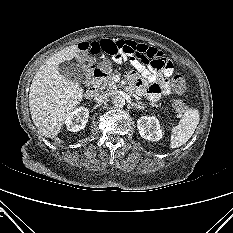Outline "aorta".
I'll use <instances>...</instances> for the list:
<instances>
[{"label":"aorta","mask_w":233,"mask_h":233,"mask_svg":"<svg viewBox=\"0 0 233 233\" xmlns=\"http://www.w3.org/2000/svg\"><path fill=\"white\" fill-rule=\"evenodd\" d=\"M112 103L117 108H122L125 105V98L122 95H115Z\"/></svg>","instance_id":"aorta-1"}]
</instances>
